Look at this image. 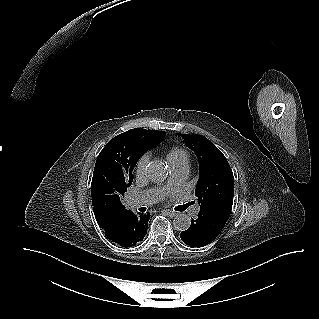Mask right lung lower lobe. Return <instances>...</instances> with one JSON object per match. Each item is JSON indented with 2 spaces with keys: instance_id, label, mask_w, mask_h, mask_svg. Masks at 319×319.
<instances>
[{
  "instance_id": "right-lung-lower-lobe-1",
  "label": "right lung lower lobe",
  "mask_w": 319,
  "mask_h": 319,
  "mask_svg": "<svg viewBox=\"0 0 319 319\" xmlns=\"http://www.w3.org/2000/svg\"><path fill=\"white\" fill-rule=\"evenodd\" d=\"M149 219L150 214L136 215L124 209L112 216L101 228L108 239L123 247H132L143 240Z\"/></svg>"
}]
</instances>
